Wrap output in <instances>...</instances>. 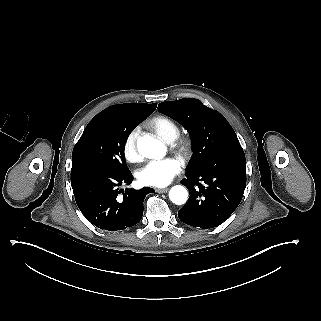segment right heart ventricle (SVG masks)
Segmentation results:
<instances>
[{
	"mask_svg": "<svg viewBox=\"0 0 321 321\" xmlns=\"http://www.w3.org/2000/svg\"><path fill=\"white\" fill-rule=\"evenodd\" d=\"M151 129L166 142H173L180 134V126L172 118L155 115L149 119Z\"/></svg>",
	"mask_w": 321,
	"mask_h": 321,
	"instance_id": "e07e8e85",
	"label": "right heart ventricle"
}]
</instances>
